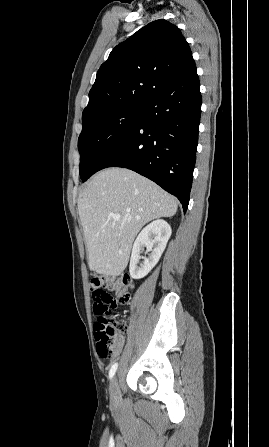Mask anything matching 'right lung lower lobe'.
Wrapping results in <instances>:
<instances>
[{"mask_svg": "<svg viewBox=\"0 0 269 447\" xmlns=\"http://www.w3.org/2000/svg\"><path fill=\"white\" fill-rule=\"evenodd\" d=\"M201 103L194 62L181 77L143 102L138 124L99 158L88 176L107 167L131 169L176 196L186 212Z\"/></svg>", "mask_w": 269, "mask_h": 447, "instance_id": "98d812e1", "label": "right lung lower lobe"}]
</instances>
